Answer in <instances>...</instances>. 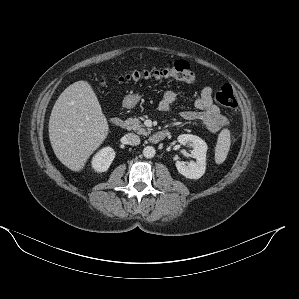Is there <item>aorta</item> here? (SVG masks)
I'll list each match as a JSON object with an SVG mask.
<instances>
[{
	"mask_svg": "<svg viewBox=\"0 0 299 299\" xmlns=\"http://www.w3.org/2000/svg\"><path fill=\"white\" fill-rule=\"evenodd\" d=\"M155 154H156V150L153 146H146L143 149V155L146 158H153L155 156Z\"/></svg>",
	"mask_w": 299,
	"mask_h": 299,
	"instance_id": "obj_1",
	"label": "aorta"
}]
</instances>
